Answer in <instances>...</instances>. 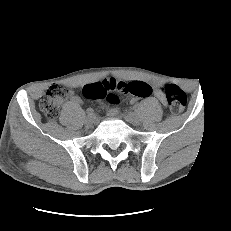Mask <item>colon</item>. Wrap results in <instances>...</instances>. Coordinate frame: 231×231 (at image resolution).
I'll list each match as a JSON object with an SVG mask.
<instances>
[{
  "label": "colon",
  "mask_w": 231,
  "mask_h": 231,
  "mask_svg": "<svg viewBox=\"0 0 231 231\" xmlns=\"http://www.w3.org/2000/svg\"><path fill=\"white\" fill-rule=\"evenodd\" d=\"M151 88L145 82L127 83L116 80H104L88 84L83 88V94L88 99H104L112 103L118 102V94H131L138 97H146ZM163 93L165 103L173 114L181 113L186 106V95L178 87L172 84H164ZM68 94V89L61 84L51 85L40 100V109L49 120L58 116L60 105Z\"/></svg>",
  "instance_id": "obj_1"
}]
</instances>
